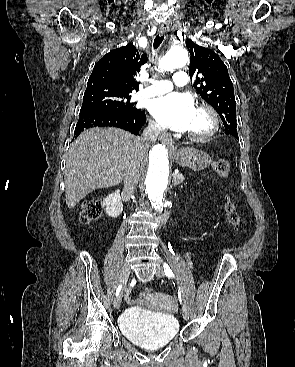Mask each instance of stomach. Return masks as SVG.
<instances>
[{"label": "stomach", "instance_id": "0dacf381", "mask_svg": "<svg viewBox=\"0 0 295 367\" xmlns=\"http://www.w3.org/2000/svg\"><path fill=\"white\" fill-rule=\"evenodd\" d=\"M172 159L180 166L193 171L205 169L211 163V157L201 150L193 147L181 148L172 153Z\"/></svg>", "mask_w": 295, "mask_h": 367}]
</instances>
